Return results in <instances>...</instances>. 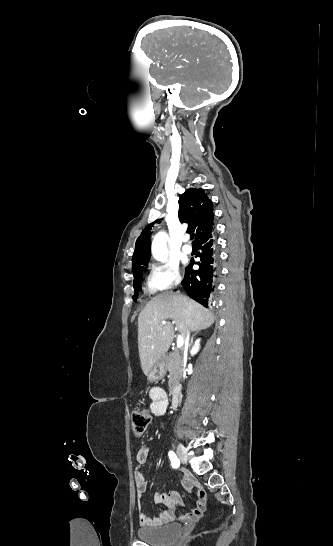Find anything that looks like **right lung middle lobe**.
I'll list each match as a JSON object with an SVG mask.
<instances>
[{
	"instance_id": "obj_1",
	"label": "right lung middle lobe",
	"mask_w": 333,
	"mask_h": 546,
	"mask_svg": "<svg viewBox=\"0 0 333 546\" xmlns=\"http://www.w3.org/2000/svg\"><path fill=\"white\" fill-rule=\"evenodd\" d=\"M140 277H139V274L134 276V296H133V299L136 300L137 298V295H138V290H139V285H140Z\"/></svg>"
}]
</instances>
